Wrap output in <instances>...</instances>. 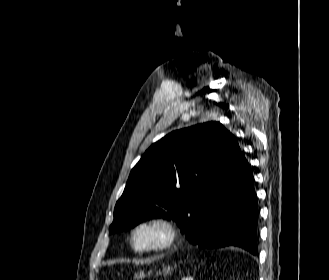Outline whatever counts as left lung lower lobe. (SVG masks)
Listing matches in <instances>:
<instances>
[{
    "instance_id": "0a47b994",
    "label": "left lung lower lobe",
    "mask_w": 329,
    "mask_h": 280,
    "mask_svg": "<svg viewBox=\"0 0 329 280\" xmlns=\"http://www.w3.org/2000/svg\"><path fill=\"white\" fill-rule=\"evenodd\" d=\"M232 179L200 207L199 221L182 231L201 248L240 247L257 254L258 210L253 175L241 151L232 159Z\"/></svg>"
}]
</instances>
